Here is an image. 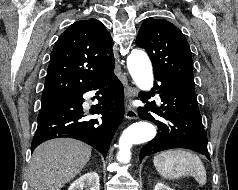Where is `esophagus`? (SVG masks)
<instances>
[{
  "label": "esophagus",
  "instance_id": "obj_1",
  "mask_svg": "<svg viewBox=\"0 0 238 190\" xmlns=\"http://www.w3.org/2000/svg\"><path fill=\"white\" fill-rule=\"evenodd\" d=\"M138 90L134 87H126L125 89V100H126V111H125V118L126 119H136L137 118V111L132 106V101L137 97Z\"/></svg>",
  "mask_w": 238,
  "mask_h": 190
}]
</instances>
